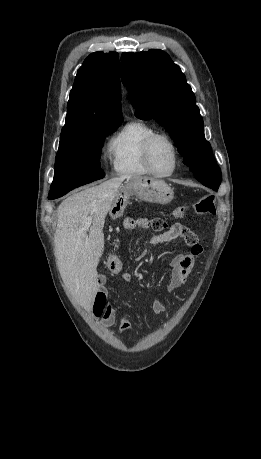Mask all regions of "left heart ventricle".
<instances>
[{"mask_svg": "<svg viewBox=\"0 0 261 459\" xmlns=\"http://www.w3.org/2000/svg\"><path fill=\"white\" fill-rule=\"evenodd\" d=\"M152 164L159 173H168L174 166L172 148L165 140H158L152 150Z\"/></svg>", "mask_w": 261, "mask_h": 459, "instance_id": "obj_1", "label": "left heart ventricle"}]
</instances>
